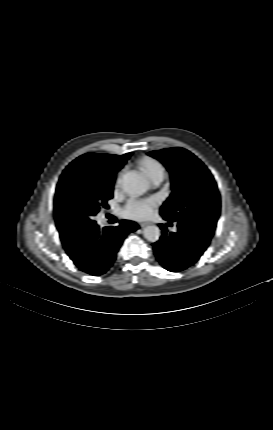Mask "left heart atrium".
<instances>
[{"label":"left heart atrium","mask_w":273,"mask_h":430,"mask_svg":"<svg viewBox=\"0 0 273 430\" xmlns=\"http://www.w3.org/2000/svg\"><path fill=\"white\" fill-rule=\"evenodd\" d=\"M156 204L157 201L153 198L143 200L132 199L124 208L123 215L128 218L142 220L151 215Z\"/></svg>","instance_id":"39dd6f15"}]
</instances>
